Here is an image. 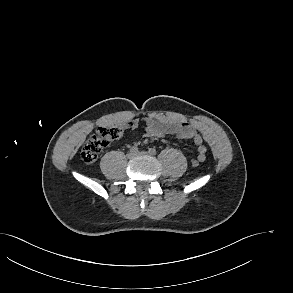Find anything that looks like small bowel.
<instances>
[{
    "instance_id": "c3829d8e",
    "label": "small bowel",
    "mask_w": 293,
    "mask_h": 293,
    "mask_svg": "<svg viewBox=\"0 0 293 293\" xmlns=\"http://www.w3.org/2000/svg\"><path fill=\"white\" fill-rule=\"evenodd\" d=\"M145 136L160 138L175 136L183 139H192L198 146V153H206L203 138L196 128L188 122H173L164 117L148 116L142 120Z\"/></svg>"
}]
</instances>
